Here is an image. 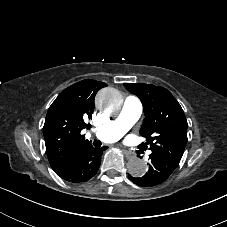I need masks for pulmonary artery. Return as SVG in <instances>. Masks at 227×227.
<instances>
[{"instance_id":"obj_1","label":"pulmonary artery","mask_w":227,"mask_h":227,"mask_svg":"<svg viewBox=\"0 0 227 227\" xmlns=\"http://www.w3.org/2000/svg\"><path fill=\"white\" fill-rule=\"evenodd\" d=\"M141 113V100L135 94L128 95L120 114L113 120L108 121L102 131L96 135L94 129L86 130L87 138L92 139L95 135L100 139L113 142L122 137L132 125L138 120Z\"/></svg>"}]
</instances>
